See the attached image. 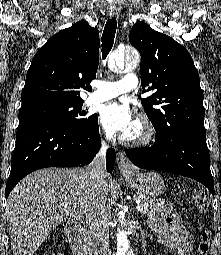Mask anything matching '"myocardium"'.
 Here are the masks:
<instances>
[{
    "mask_svg": "<svg viewBox=\"0 0 221 255\" xmlns=\"http://www.w3.org/2000/svg\"><path fill=\"white\" fill-rule=\"evenodd\" d=\"M136 134H124L121 138L122 143L131 147H144L149 145L155 136V130L152 123L145 116H139L136 120Z\"/></svg>",
    "mask_w": 221,
    "mask_h": 255,
    "instance_id": "obj_1",
    "label": "myocardium"
}]
</instances>
